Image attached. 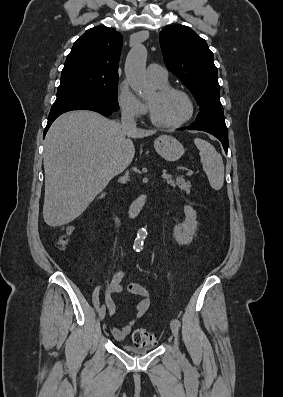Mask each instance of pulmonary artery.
<instances>
[{"label": "pulmonary artery", "mask_w": 283, "mask_h": 397, "mask_svg": "<svg viewBox=\"0 0 283 397\" xmlns=\"http://www.w3.org/2000/svg\"><path fill=\"white\" fill-rule=\"evenodd\" d=\"M147 75L152 81L164 82L167 80V71L162 66L155 63L148 66Z\"/></svg>", "instance_id": "pulmonary-artery-1"}]
</instances>
